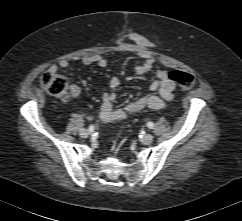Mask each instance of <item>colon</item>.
<instances>
[{"label":"colon","mask_w":242,"mask_h":221,"mask_svg":"<svg viewBox=\"0 0 242 221\" xmlns=\"http://www.w3.org/2000/svg\"><path fill=\"white\" fill-rule=\"evenodd\" d=\"M167 78L177 83L180 88L188 90L193 88L195 85L194 77L183 71H170L167 73ZM41 87L49 94L67 99L68 94V84L66 79L53 71H46L40 77Z\"/></svg>","instance_id":"5ec220e1"}]
</instances>
